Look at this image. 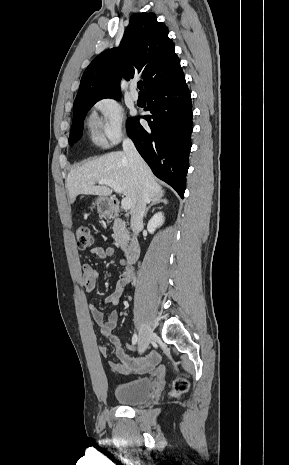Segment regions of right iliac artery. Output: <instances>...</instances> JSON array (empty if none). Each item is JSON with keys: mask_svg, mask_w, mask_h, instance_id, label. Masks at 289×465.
<instances>
[{"mask_svg": "<svg viewBox=\"0 0 289 465\" xmlns=\"http://www.w3.org/2000/svg\"><path fill=\"white\" fill-rule=\"evenodd\" d=\"M137 341H138V336H137V334L135 333V334L133 335V337H132V344L135 345V344L137 343Z\"/></svg>", "mask_w": 289, "mask_h": 465, "instance_id": "obj_1", "label": "right iliac artery"}]
</instances>
